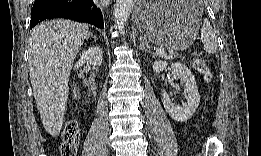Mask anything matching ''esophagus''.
Masks as SVG:
<instances>
[{
	"instance_id": "obj_1",
	"label": "esophagus",
	"mask_w": 261,
	"mask_h": 156,
	"mask_svg": "<svg viewBox=\"0 0 261 156\" xmlns=\"http://www.w3.org/2000/svg\"><path fill=\"white\" fill-rule=\"evenodd\" d=\"M109 4V2H106L105 5L107 6Z\"/></svg>"
}]
</instances>
